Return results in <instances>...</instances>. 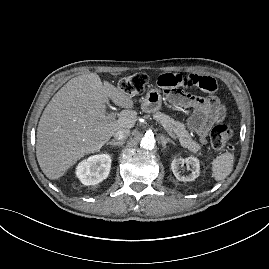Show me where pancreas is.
I'll return each instance as SVG.
<instances>
[{
  "label": "pancreas",
  "instance_id": "1",
  "mask_svg": "<svg viewBox=\"0 0 269 269\" xmlns=\"http://www.w3.org/2000/svg\"><path fill=\"white\" fill-rule=\"evenodd\" d=\"M154 118L164 126L165 130L170 136L177 138L183 147L187 148L198 156L202 155L200 145L192 139L183 123L175 121L174 119L160 112H157L154 115Z\"/></svg>",
  "mask_w": 269,
  "mask_h": 269
}]
</instances>
